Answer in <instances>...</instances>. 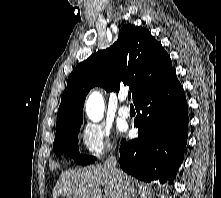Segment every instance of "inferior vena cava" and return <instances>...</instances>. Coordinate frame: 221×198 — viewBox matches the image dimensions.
<instances>
[{"label":"inferior vena cava","instance_id":"602c4592","mask_svg":"<svg viewBox=\"0 0 221 198\" xmlns=\"http://www.w3.org/2000/svg\"><path fill=\"white\" fill-rule=\"evenodd\" d=\"M117 160L116 157L111 155L106 160L104 167L111 171V173L118 180L124 198H135L134 185L130 182L128 177L120 170L116 168Z\"/></svg>","mask_w":221,"mask_h":198}]
</instances>
